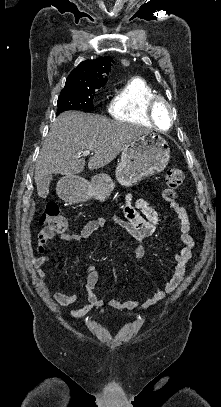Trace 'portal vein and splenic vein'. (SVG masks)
<instances>
[{
  "instance_id": "obj_1",
  "label": "portal vein and splenic vein",
  "mask_w": 221,
  "mask_h": 407,
  "mask_svg": "<svg viewBox=\"0 0 221 407\" xmlns=\"http://www.w3.org/2000/svg\"><path fill=\"white\" fill-rule=\"evenodd\" d=\"M82 153H83L84 156L89 155V154H90V150H88V149H87V150H84Z\"/></svg>"
}]
</instances>
